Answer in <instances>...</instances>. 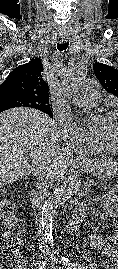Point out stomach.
<instances>
[{"instance_id":"obj_1","label":"stomach","mask_w":118,"mask_h":269,"mask_svg":"<svg viewBox=\"0 0 118 269\" xmlns=\"http://www.w3.org/2000/svg\"><path fill=\"white\" fill-rule=\"evenodd\" d=\"M82 168L100 179H111L118 175V162L112 158H102L93 164H83Z\"/></svg>"}]
</instances>
